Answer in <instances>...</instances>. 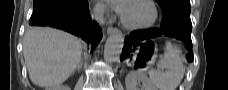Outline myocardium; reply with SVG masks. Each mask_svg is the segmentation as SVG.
<instances>
[{"instance_id": "f54148a6", "label": "myocardium", "mask_w": 228, "mask_h": 90, "mask_svg": "<svg viewBox=\"0 0 228 90\" xmlns=\"http://www.w3.org/2000/svg\"><path fill=\"white\" fill-rule=\"evenodd\" d=\"M135 1H143V2L147 3L152 9V13H153L152 18L148 22L143 23V24H130L124 19V17L121 14L120 21H121L122 25L125 28L131 29V30H142V29H147V28L152 27L157 22V19H158V9H157L154 1H152V0H127V1H125L124 6L128 3H133Z\"/></svg>"}]
</instances>
